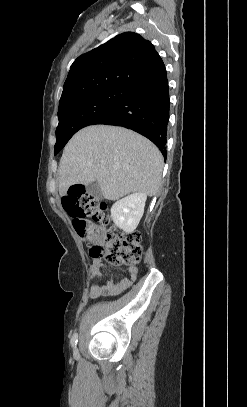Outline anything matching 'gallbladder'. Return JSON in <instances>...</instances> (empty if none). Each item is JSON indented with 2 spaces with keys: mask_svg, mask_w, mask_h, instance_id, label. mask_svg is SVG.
Listing matches in <instances>:
<instances>
[{
  "mask_svg": "<svg viewBox=\"0 0 247 407\" xmlns=\"http://www.w3.org/2000/svg\"><path fill=\"white\" fill-rule=\"evenodd\" d=\"M89 195L93 196L96 200H101L103 195L98 182H92L86 186Z\"/></svg>",
  "mask_w": 247,
  "mask_h": 407,
  "instance_id": "bac80fb5",
  "label": "gallbladder"
}]
</instances>
